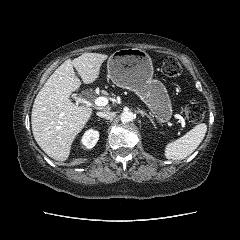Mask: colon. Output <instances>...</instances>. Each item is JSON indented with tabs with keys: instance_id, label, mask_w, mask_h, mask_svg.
<instances>
[{
	"instance_id": "colon-1",
	"label": "colon",
	"mask_w": 240,
	"mask_h": 240,
	"mask_svg": "<svg viewBox=\"0 0 240 240\" xmlns=\"http://www.w3.org/2000/svg\"><path fill=\"white\" fill-rule=\"evenodd\" d=\"M162 72L167 77H177L182 72V67L176 58L168 57L163 61ZM205 112V106L201 101L190 100L183 108V113L192 124L199 123Z\"/></svg>"
}]
</instances>
